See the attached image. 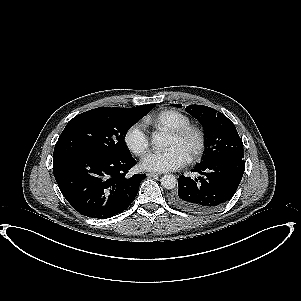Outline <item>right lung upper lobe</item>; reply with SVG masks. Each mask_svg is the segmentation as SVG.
Masks as SVG:
<instances>
[{"label":"right lung upper lobe","instance_id":"obj_1","mask_svg":"<svg viewBox=\"0 0 301 301\" xmlns=\"http://www.w3.org/2000/svg\"><path fill=\"white\" fill-rule=\"evenodd\" d=\"M141 107H145V108H153V107H154V104L142 105Z\"/></svg>","mask_w":301,"mask_h":301}]
</instances>
